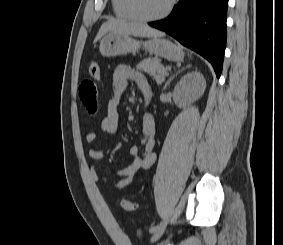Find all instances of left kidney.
Returning a JSON list of instances; mask_svg holds the SVG:
<instances>
[{
    "label": "left kidney",
    "instance_id": "obj_1",
    "mask_svg": "<svg viewBox=\"0 0 283 245\" xmlns=\"http://www.w3.org/2000/svg\"><path fill=\"white\" fill-rule=\"evenodd\" d=\"M206 82L203 75L197 71L184 75L174 88V101L185 106L198 100L204 93Z\"/></svg>",
    "mask_w": 283,
    "mask_h": 245
}]
</instances>
